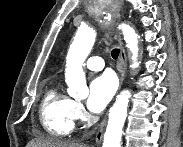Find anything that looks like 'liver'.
<instances>
[{"instance_id":"liver-1","label":"liver","mask_w":183,"mask_h":147,"mask_svg":"<svg viewBox=\"0 0 183 147\" xmlns=\"http://www.w3.org/2000/svg\"><path fill=\"white\" fill-rule=\"evenodd\" d=\"M27 147H85L83 144L63 141L53 137H39L31 140Z\"/></svg>"}]
</instances>
